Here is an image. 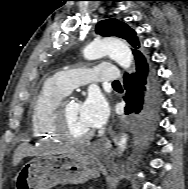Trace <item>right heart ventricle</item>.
I'll use <instances>...</instances> for the list:
<instances>
[{
	"instance_id": "e07e8e85",
	"label": "right heart ventricle",
	"mask_w": 188,
	"mask_h": 189,
	"mask_svg": "<svg viewBox=\"0 0 188 189\" xmlns=\"http://www.w3.org/2000/svg\"><path fill=\"white\" fill-rule=\"evenodd\" d=\"M68 93L54 78L43 83L30 111L31 132L35 139L48 142L60 140L53 128V115Z\"/></svg>"
}]
</instances>
